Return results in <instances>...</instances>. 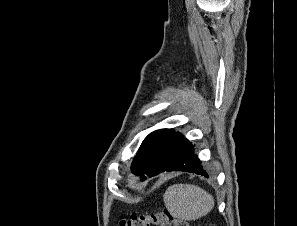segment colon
Wrapping results in <instances>:
<instances>
[{"mask_svg": "<svg viewBox=\"0 0 297 226\" xmlns=\"http://www.w3.org/2000/svg\"><path fill=\"white\" fill-rule=\"evenodd\" d=\"M190 226L185 220L173 217L168 211L152 214H131L119 221V226Z\"/></svg>", "mask_w": 297, "mask_h": 226, "instance_id": "5ec220e1", "label": "colon"}]
</instances>
